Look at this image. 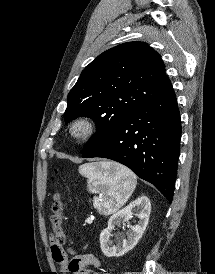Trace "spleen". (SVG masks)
Wrapping results in <instances>:
<instances>
[{"instance_id":"3e777b00","label":"spleen","mask_w":215,"mask_h":274,"mask_svg":"<svg viewBox=\"0 0 215 274\" xmlns=\"http://www.w3.org/2000/svg\"><path fill=\"white\" fill-rule=\"evenodd\" d=\"M81 175L88 179V189L98 193V210L110 215L120 209L136 187V176L122 165L112 166L109 162L88 163L79 167Z\"/></svg>"}]
</instances>
